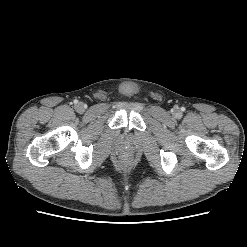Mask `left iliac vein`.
Segmentation results:
<instances>
[{"mask_svg": "<svg viewBox=\"0 0 247 247\" xmlns=\"http://www.w3.org/2000/svg\"><path fill=\"white\" fill-rule=\"evenodd\" d=\"M175 115H179L180 113L179 112H176V113H174Z\"/></svg>", "mask_w": 247, "mask_h": 247, "instance_id": "1", "label": "left iliac vein"}]
</instances>
